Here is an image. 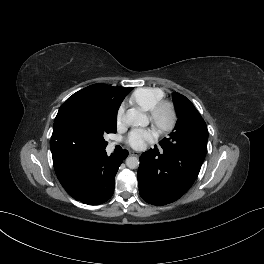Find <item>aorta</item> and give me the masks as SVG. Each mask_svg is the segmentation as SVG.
Listing matches in <instances>:
<instances>
[{
	"instance_id": "obj_1",
	"label": "aorta",
	"mask_w": 264,
	"mask_h": 264,
	"mask_svg": "<svg viewBox=\"0 0 264 264\" xmlns=\"http://www.w3.org/2000/svg\"><path fill=\"white\" fill-rule=\"evenodd\" d=\"M124 122L130 126H147L148 118L145 114L136 109L127 110L123 118ZM126 165L130 169H136L139 166V159L134 156L127 157Z\"/></svg>"
}]
</instances>
